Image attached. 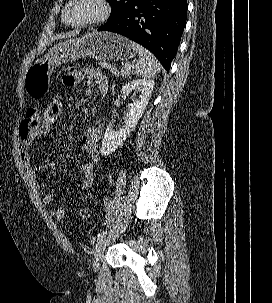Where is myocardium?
Returning a JSON list of instances; mask_svg holds the SVG:
<instances>
[{
  "instance_id": "obj_1",
  "label": "myocardium",
  "mask_w": 272,
  "mask_h": 303,
  "mask_svg": "<svg viewBox=\"0 0 272 303\" xmlns=\"http://www.w3.org/2000/svg\"><path fill=\"white\" fill-rule=\"evenodd\" d=\"M77 1L78 0H69L63 10V15H62L63 21L66 25H68L70 27L80 28V27H86V26L99 25V24L107 21L111 15L112 7H111L109 0H93V2H95L100 8L99 13L95 17L85 19V20H82L79 22H70L67 19L68 11H69L70 7Z\"/></svg>"
}]
</instances>
